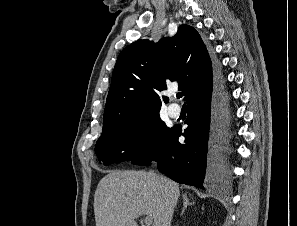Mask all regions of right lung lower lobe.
<instances>
[{
  "label": "right lung lower lobe",
  "mask_w": 297,
  "mask_h": 226,
  "mask_svg": "<svg viewBox=\"0 0 297 226\" xmlns=\"http://www.w3.org/2000/svg\"><path fill=\"white\" fill-rule=\"evenodd\" d=\"M223 80L214 72L212 84L204 91L193 94L187 103L188 127L170 129L162 142L137 165L158 163V170L176 182L204 189L203 182L217 184L229 177V167L222 152L229 136L230 112ZM183 135L185 143L178 138Z\"/></svg>",
  "instance_id": "98d812e1"
}]
</instances>
